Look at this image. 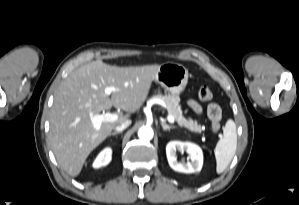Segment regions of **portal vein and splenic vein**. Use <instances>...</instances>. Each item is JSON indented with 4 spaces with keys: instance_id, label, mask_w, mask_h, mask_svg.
Instances as JSON below:
<instances>
[{
    "instance_id": "obj_1",
    "label": "portal vein and splenic vein",
    "mask_w": 299,
    "mask_h": 205,
    "mask_svg": "<svg viewBox=\"0 0 299 205\" xmlns=\"http://www.w3.org/2000/svg\"><path fill=\"white\" fill-rule=\"evenodd\" d=\"M116 91V88L113 86H108L105 88L104 93L106 95H110L112 92ZM118 116L114 113H103V114H98V115H91L90 120L94 126V129L96 131L100 130L101 125L103 122H114L116 121ZM167 120L170 123H174V118L171 115L167 116Z\"/></svg>"
}]
</instances>
